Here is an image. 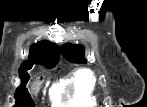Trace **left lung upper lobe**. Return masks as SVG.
<instances>
[{
	"label": "left lung upper lobe",
	"mask_w": 147,
	"mask_h": 107,
	"mask_svg": "<svg viewBox=\"0 0 147 107\" xmlns=\"http://www.w3.org/2000/svg\"><path fill=\"white\" fill-rule=\"evenodd\" d=\"M63 56L70 62L86 63L84 47L81 45L64 44L62 46Z\"/></svg>",
	"instance_id": "left-lung-upper-lobe-1"
}]
</instances>
